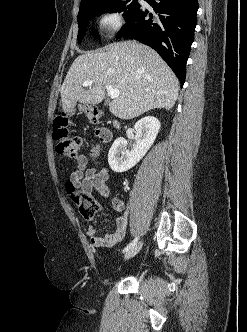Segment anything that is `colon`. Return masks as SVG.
Returning <instances> with one entry per match:
<instances>
[{"mask_svg": "<svg viewBox=\"0 0 247 332\" xmlns=\"http://www.w3.org/2000/svg\"><path fill=\"white\" fill-rule=\"evenodd\" d=\"M81 110L86 114L92 124H97L102 116L101 111L91 105L83 106ZM69 120L66 115H59L54 120V139L57 142L56 151L59 155L67 158H76L82 146L81 138L77 135L71 134L69 131ZM69 189L72 193V198L78 206L80 214L86 218L91 219L99 210V204L90 196H81L73 192L74 186L69 184Z\"/></svg>", "mask_w": 247, "mask_h": 332, "instance_id": "colon-1", "label": "colon"}]
</instances>
